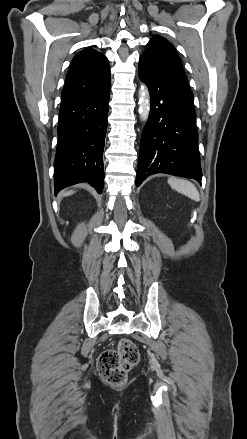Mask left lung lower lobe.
Returning a JSON list of instances; mask_svg holds the SVG:
<instances>
[{"label": "left lung lower lobe", "instance_id": "0a47b994", "mask_svg": "<svg viewBox=\"0 0 247 439\" xmlns=\"http://www.w3.org/2000/svg\"><path fill=\"white\" fill-rule=\"evenodd\" d=\"M138 72L149 88L151 110L140 143L136 186L155 173L193 178L201 182L192 92L141 62Z\"/></svg>", "mask_w": 247, "mask_h": 439}]
</instances>
